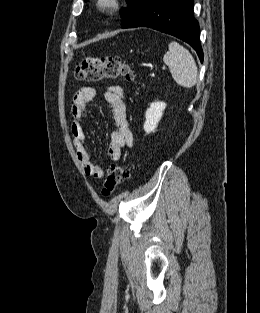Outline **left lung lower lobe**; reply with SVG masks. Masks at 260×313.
I'll return each instance as SVG.
<instances>
[{
	"mask_svg": "<svg viewBox=\"0 0 260 313\" xmlns=\"http://www.w3.org/2000/svg\"><path fill=\"white\" fill-rule=\"evenodd\" d=\"M194 0H152L125 28L149 27L187 42L203 61Z\"/></svg>",
	"mask_w": 260,
	"mask_h": 313,
	"instance_id": "0a47b994",
	"label": "left lung lower lobe"
}]
</instances>
